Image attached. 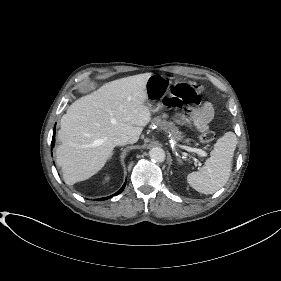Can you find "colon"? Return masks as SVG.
<instances>
[{"label": "colon", "mask_w": 281, "mask_h": 281, "mask_svg": "<svg viewBox=\"0 0 281 281\" xmlns=\"http://www.w3.org/2000/svg\"><path fill=\"white\" fill-rule=\"evenodd\" d=\"M203 92L202 85L198 83H179L174 86L173 95L166 99L165 104L171 108H181L184 105H196L200 102V94ZM214 139V133L204 132L200 140L202 143H210Z\"/></svg>", "instance_id": "1"}]
</instances>
